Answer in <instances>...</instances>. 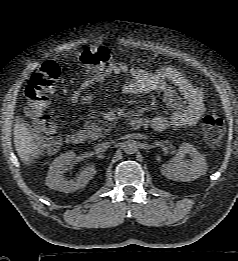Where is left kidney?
<instances>
[{
	"label": "left kidney",
	"instance_id": "obj_1",
	"mask_svg": "<svg viewBox=\"0 0 238 261\" xmlns=\"http://www.w3.org/2000/svg\"><path fill=\"white\" fill-rule=\"evenodd\" d=\"M186 154L191 156V161L185 160ZM207 167L204 156L189 143H183L176 156L168 164H163L160 170L168 179L188 182L206 174Z\"/></svg>",
	"mask_w": 238,
	"mask_h": 261
}]
</instances>
